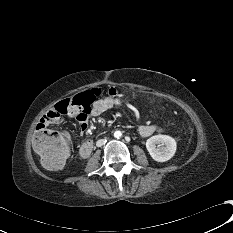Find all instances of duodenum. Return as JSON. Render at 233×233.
I'll return each instance as SVG.
<instances>
[{"label": "duodenum", "mask_w": 233, "mask_h": 233, "mask_svg": "<svg viewBox=\"0 0 233 233\" xmlns=\"http://www.w3.org/2000/svg\"><path fill=\"white\" fill-rule=\"evenodd\" d=\"M94 148H92V150H93ZM81 154V153H80ZM91 154V153H90ZM90 154L89 155H82L81 154V156L83 157V158H88L89 156H90Z\"/></svg>", "instance_id": "410a0bca"}]
</instances>
